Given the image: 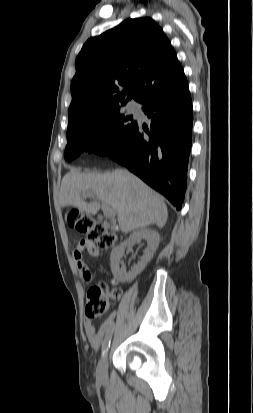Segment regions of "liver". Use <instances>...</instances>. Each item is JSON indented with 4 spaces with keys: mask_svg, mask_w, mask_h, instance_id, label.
<instances>
[{
    "mask_svg": "<svg viewBox=\"0 0 253 413\" xmlns=\"http://www.w3.org/2000/svg\"><path fill=\"white\" fill-rule=\"evenodd\" d=\"M86 192L93 193L117 213L123 233L153 224L163 228L167 222L168 211L162 197L128 170L115 169L98 174L72 169L62 179L60 205H73L80 212L96 215L100 204L83 201L81 195Z\"/></svg>",
    "mask_w": 253,
    "mask_h": 413,
    "instance_id": "obj_1",
    "label": "liver"
}]
</instances>
